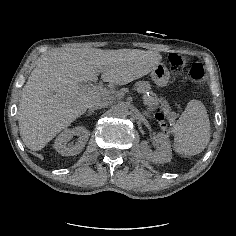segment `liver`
Wrapping results in <instances>:
<instances>
[{
  "label": "liver",
  "instance_id": "1",
  "mask_svg": "<svg viewBox=\"0 0 236 236\" xmlns=\"http://www.w3.org/2000/svg\"><path fill=\"white\" fill-rule=\"evenodd\" d=\"M148 50L67 48L38 58L22 88L18 109L20 136L33 151L45 148L61 131L105 95L83 90L81 84L96 80L128 84L148 73L141 66Z\"/></svg>",
  "mask_w": 236,
  "mask_h": 236
}]
</instances>
